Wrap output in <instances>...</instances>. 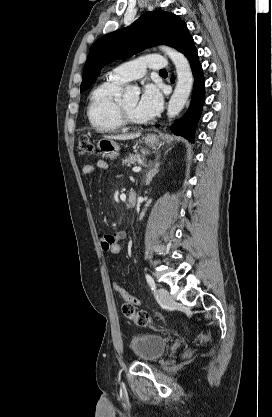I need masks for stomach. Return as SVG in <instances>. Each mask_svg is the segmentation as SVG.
Segmentation results:
<instances>
[{"label": "stomach", "mask_w": 272, "mask_h": 417, "mask_svg": "<svg viewBox=\"0 0 272 417\" xmlns=\"http://www.w3.org/2000/svg\"><path fill=\"white\" fill-rule=\"evenodd\" d=\"M144 143L150 148H156L163 144L159 141V138L153 134L144 137ZM97 147L102 151L103 156L107 159L114 160L119 155L120 147L114 140L106 138L100 139L97 143Z\"/></svg>", "instance_id": "stomach-1"}]
</instances>
